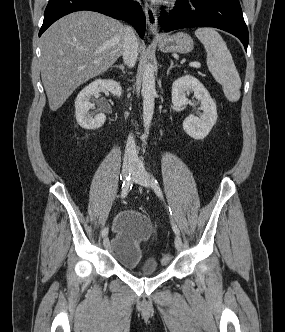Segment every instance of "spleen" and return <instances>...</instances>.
<instances>
[{
	"mask_svg": "<svg viewBox=\"0 0 285 332\" xmlns=\"http://www.w3.org/2000/svg\"><path fill=\"white\" fill-rule=\"evenodd\" d=\"M195 35L204 45L208 69L222 86L225 97L230 102L238 101L241 95V79L225 41L210 27L198 28Z\"/></svg>",
	"mask_w": 285,
	"mask_h": 332,
	"instance_id": "3e777b00",
	"label": "spleen"
}]
</instances>
